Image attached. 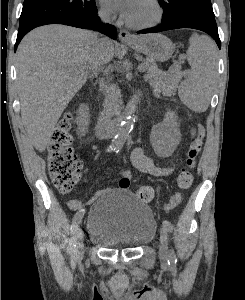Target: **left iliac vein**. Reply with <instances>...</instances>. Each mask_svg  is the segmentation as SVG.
Masks as SVG:
<instances>
[{"instance_id": "obj_1", "label": "left iliac vein", "mask_w": 245, "mask_h": 300, "mask_svg": "<svg viewBox=\"0 0 245 300\" xmlns=\"http://www.w3.org/2000/svg\"><path fill=\"white\" fill-rule=\"evenodd\" d=\"M159 257L163 262L168 260V236L165 228L160 229Z\"/></svg>"}]
</instances>
